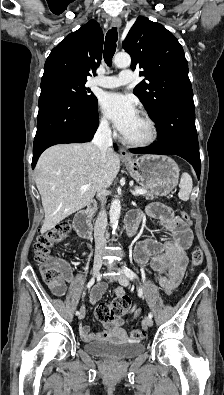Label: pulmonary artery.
<instances>
[{"mask_svg":"<svg viewBox=\"0 0 224 395\" xmlns=\"http://www.w3.org/2000/svg\"><path fill=\"white\" fill-rule=\"evenodd\" d=\"M133 80L131 70H122L117 76H102L94 81V84L103 88H117L130 83Z\"/></svg>","mask_w":224,"mask_h":395,"instance_id":"obj_1","label":"pulmonary artery"}]
</instances>
